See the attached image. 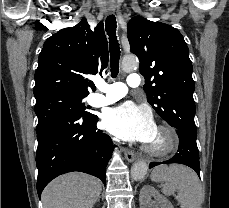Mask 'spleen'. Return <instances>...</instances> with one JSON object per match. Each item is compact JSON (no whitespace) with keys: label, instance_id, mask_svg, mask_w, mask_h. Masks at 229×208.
Masks as SVG:
<instances>
[{"label":"spleen","instance_id":"obj_1","mask_svg":"<svg viewBox=\"0 0 229 208\" xmlns=\"http://www.w3.org/2000/svg\"><path fill=\"white\" fill-rule=\"evenodd\" d=\"M153 182H165L162 192L165 196H172L178 192V200L181 208H200L203 204V192L199 178L190 168L181 164H161L154 168L151 174Z\"/></svg>","mask_w":229,"mask_h":208}]
</instances>
